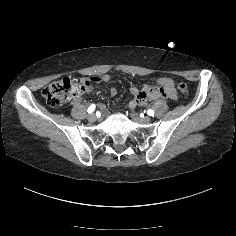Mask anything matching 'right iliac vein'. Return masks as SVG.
I'll return each instance as SVG.
<instances>
[{"label": "right iliac vein", "mask_w": 236, "mask_h": 236, "mask_svg": "<svg viewBox=\"0 0 236 236\" xmlns=\"http://www.w3.org/2000/svg\"><path fill=\"white\" fill-rule=\"evenodd\" d=\"M89 122L93 123L97 120V116L95 114H91L88 117Z\"/></svg>", "instance_id": "63e3f726"}]
</instances>
